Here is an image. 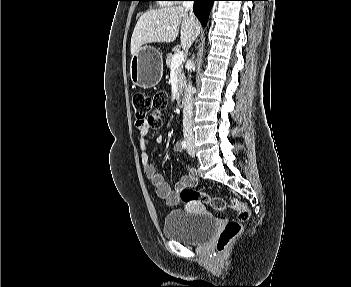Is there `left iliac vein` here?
Listing matches in <instances>:
<instances>
[{"label": "left iliac vein", "instance_id": "1", "mask_svg": "<svg viewBox=\"0 0 351 287\" xmlns=\"http://www.w3.org/2000/svg\"><path fill=\"white\" fill-rule=\"evenodd\" d=\"M187 151L191 157H194L195 151L192 143H189Z\"/></svg>", "mask_w": 351, "mask_h": 287}]
</instances>
